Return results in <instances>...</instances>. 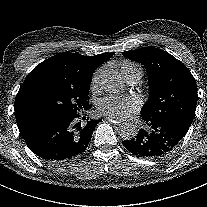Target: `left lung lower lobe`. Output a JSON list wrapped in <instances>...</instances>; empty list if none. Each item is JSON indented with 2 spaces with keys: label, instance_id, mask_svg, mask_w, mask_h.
Instances as JSON below:
<instances>
[{
  "label": "left lung lower lobe",
  "instance_id": "1",
  "mask_svg": "<svg viewBox=\"0 0 207 207\" xmlns=\"http://www.w3.org/2000/svg\"><path fill=\"white\" fill-rule=\"evenodd\" d=\"M145 128L123 145L131 153L147 158L160 157L171 151L186 135L188 129L168 118H144Z\"/></svg>",
  "mask_w": 207,
  "mask_h": 207
}]
</instances>
